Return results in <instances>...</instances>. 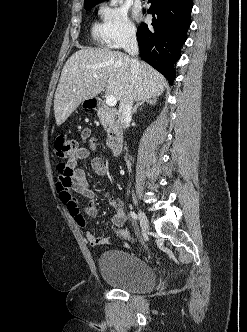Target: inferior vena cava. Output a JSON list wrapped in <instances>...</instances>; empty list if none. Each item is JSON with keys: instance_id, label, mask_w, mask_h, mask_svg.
I'll return each instance as SVG.
<instances>
[{"instance_id": "1", "label": "inferior vena cava", "mask_w": 247, "mask_h": 332, "mask_svg": "<svg viewBox=\"0 0 247 332\" xmlns=\"http://www.w3.org/2000/svg\"><path fill=\"white\" fill-rule=\"evenodd\" d=\"M123 48L131 58L130 73L132 80L138 76L139 62L136 59L138 55V44L135 29H129L126 32ZM133 85L130 86L128 94L122 99L119 106V119L123 128L131 120L132 106L134 100Z\"/></svg>"}]
</instances>
